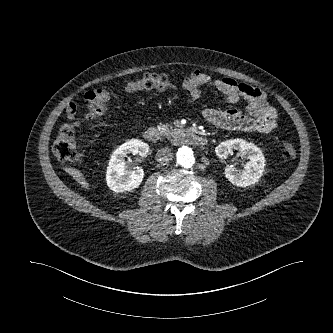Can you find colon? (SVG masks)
Returning <instances> with one entry per match:
<instances>
[{
  "label": "colon",
  "instance_id": "colon-1",
  "mask_svg": "<svg viewBox=\"0 0 333 333\" xmlns=\"http://www.w3.org/2000/svg\"><path fill=\"white\" fill-rule=\"evenodd\" d=\"M174 85L165 75L161 74H146L128 84L129 91L142 90H166L173 88ZM111 92L105 88H98L89 91L84 95V100L87 105V120H94L102 116L106 109V102L109 100ZM74 124H65L57 132L52 144L53 155L61 162L64 167L81 160V153L77 150L74 138ZM297 150L294 145L285 143L282 148V156L284 158H295Z\"/></svg>",
  "mask_w": 333,
  "mask_h": 333
}]
</instances>
